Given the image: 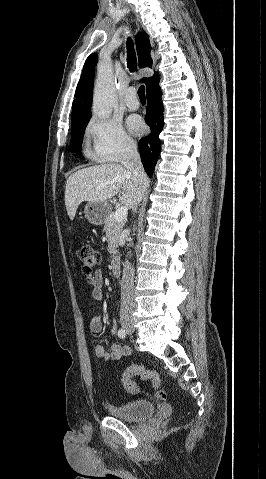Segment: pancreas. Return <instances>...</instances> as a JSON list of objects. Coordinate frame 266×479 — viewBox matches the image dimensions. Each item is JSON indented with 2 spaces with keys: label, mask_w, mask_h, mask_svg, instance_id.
I'll return each instance as SVG.
<instances>
[{
  "label": "pancreas",
  "mask_w": 266,
  "mask_h": 479,
  "mask_svg": "<svg viewBox=\"0 0 266 479\" xmlns=\"http://www.w3.org/2000/svg\"><path fill=\"white\" fill-rule=\"evenodd\" d=\"M123 227V222H117L114 218V214H109L107 220L105 221L103 231L106 233V237L108 239V252L112 255L118 253L117 248L119 246V240L121 238Z\"/></svg>",
  "instance_id": "1"
}]
</instances>
